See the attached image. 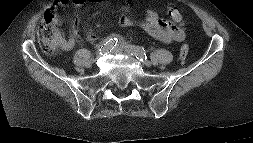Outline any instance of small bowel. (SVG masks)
<instances>
[{
  "mask_svg": "<svg viewBox=\"0 0 253 143\" xmlns=\"http://www.w3.org/2000/svg\"><path fill=\"white\" fill-rule=\"evenodd\" d=\"M101 0H56L50 11L56 13L64 5H73L76 8H86L91 5H94ZM123 6L125 9L128 8L129 0H122ZM169 16L172 21L175 22L173 25L167 19L161 18L154 10H148L146 12L145 18L143 20H136L129 15H124L119 24L122 27H128L131 25L141 26L149 35L155 39L164 42H181L184 40L185 33L182 29V17L178 10L171 7L169 9ZM53 23L56 26L60 25V20L57 17L53 18ZM79 39V20H76L74 25L71 28L68 39L63 41L62 47L64 50H70L74 47L76 41ZM88 39L90 41L95 40V36L91 33L88 34Z\"/></svg>",
  "mask_w": 253,
  "mask_h": 143,
  "instance_id": "obj_1",
  "label": "small bowel"
}]
</instances>
